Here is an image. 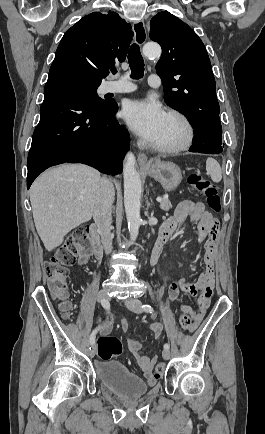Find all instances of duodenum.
Here are the masks:
<instances>
[{
  "mask_svg": "<svg viewBox=\"0 0 265 434\" xmlns=\"http://www.w3.org/2000/svg\"><path fill=\"white\" fill-rule=\"evenodd\" d=\"M89 230H91V233H92L91 238H93V241H94V244H95V249H94L95 253H96L95 258H100L101 253H102V246H101V243H100V239H97V236H96L97 230H99V229H98V227L96 225H92ZM163 246L164 245H163L162 242H158L155 245V247L153 248V250H152V252L150 254V262L152 264L157 263V261L159 260L160 255H161L162 250H163Z\"/></svg>",
  "mask_w": 265,
  "mask_h": 434,
  "instance_id": "410a0bca",
  "label": "duodenum"
}]
</instances>
